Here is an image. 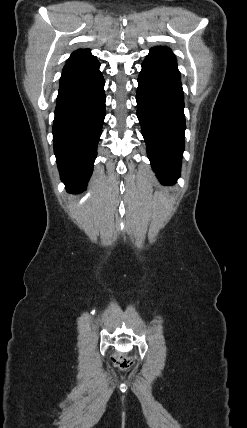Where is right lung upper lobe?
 <instances>
[{"label":"right lung upper lobe","mask_w":247,"mask_h":428,"mask_svg":"<svg viewBox=\"0 0 247 428\" xmlns=\"http://www.w3.org/2000/svg\"><path fill=\"white\" fill-rule=\"evenodd\" d=\"M91 56L92 55H91L89 49L76 50L71 54V56L69 57V59L66 62V65L86 60L87 58H89Z\"/></svg>","instance_id":"right-lung-upper-lobe-1"}]
</instances>
